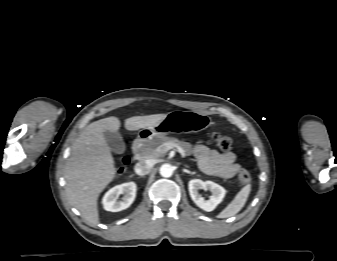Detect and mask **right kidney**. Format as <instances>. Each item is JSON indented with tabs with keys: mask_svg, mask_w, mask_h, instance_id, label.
Masks as SVG:
<instances>
[{
	"mask_svg": "<svg viewBox=\"0 0 337 261\" xmlns=\"http://www.w3.org/2000/svg\"><path fill=\"white\" fill-rule=\"evenodd\" d=\"M120 194H124L122 200H118ZM136 196V184L128 182L117 185L106 192L102 199L104 209L111 212H118L128 208Z\"/></svg>",
	"mask_w": 337,
	"mask_h": 261,
	"instance_id": "right-kidney-1",
	"label": "right kidney"
}]
</instances>
